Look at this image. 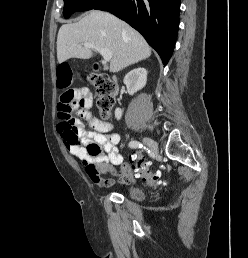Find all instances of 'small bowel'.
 I'll return each instance as SVG.
<instances>
[{
    "label": "small bowel",
    "mask_w": 248,
    "mask_h": 258,
    "mask_svg": "<svg viewBox=\"0 0 248 258\" xmlns=\"http://www.w3.org/2000/svg\"><path fill=\"white\" fill-rule=\"evenodd\" d=\"M75 98V110L78 116L84 119L91 129H86L84 124L79 120L74 121L77 136L80 138L83 144L89 143L92 140L96 141L105 153L104 155L99 156L95 162L111 164L115 166L119 165L120 169L115 171L114 174L118 177V182L120 184L126 185L135 181V178L138 177V175H132V173L128 172L129 163L123 162V157L117 147L120 141L119 134L112 131V123L100 120L90 110L93 105V95L91 91L86 87H82L76 91ZM58 132L64 139L66 148L73 155L82 159L86 164L92 161L88 159L83 147L78 146L76 143L70 142L66 138L67 134L65 131H62L58 127ZM94 184L100 187H111L114 185V181L110 180L104 182L102 180H95Z\"/></svg>",
    "instance_id": "c3829d8e"
}]
</instances>
